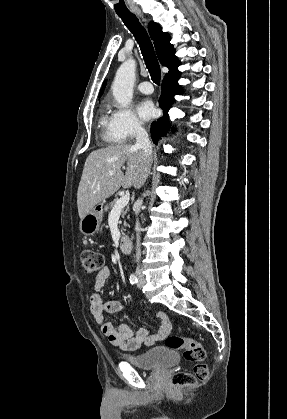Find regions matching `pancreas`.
<instances>
[{"mask_svg": "<svg viewBox=\"0 0 287 419\" xmlns=\"http://www.w3.org/2000/svg\"><path fill=\"white\" fill-rule=\"evenodd\" d=\"M117 199H114L113 201H111L109 204H107L105 206V210L108 211L110 209H112L116 203ZM129 212V206H127L125 208V210L122 211V217L124 218L125 215H127V213ZM128 218H130V216H128ZM126 225V222L124 223Z\"/></svg>", "mask_w": 287, "mask_h": 419, "instance_id": "obj_1", "label": "pancreas"}]
</instances>
